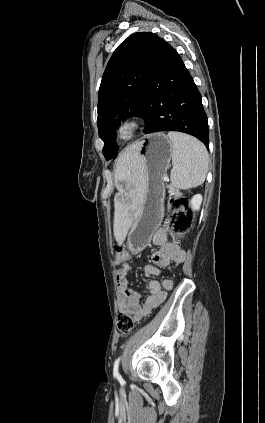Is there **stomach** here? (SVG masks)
Segmentation results:
<instances>
[{
  "instance_id": "obj_1",
  "label": "stomach",
  "mask_w": 265,
  "mask_h": 423,
  "mask_svg": "<svg viewBox=\"0 0 265 423\" xmlns=\"http://www.w3.org/2000/svg\"><path fill=\"white\" fill-rule=\"evenodd\" d=\"M137 161L143 173L144 188L140 211L129 229L127 245L139 253L151 241L164 216V176L170 165L173 144L164 133L147 135L138 142Z\"/></svg>"
}]
</instances>
